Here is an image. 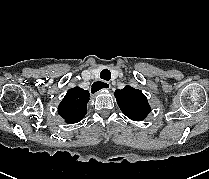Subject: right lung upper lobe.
Segmentation results:
<instances>
[{
	"mask_svg": "<svg viewBox=\"0 0 209 179\" xmlns=\"http://www.w3.org/2000/svg\"><path fill=\"white\" fill-rule=\"evenodd\" d=\"M90 93L80 87L71 88L58 106L59 115L69 124L79 122L87 113Z\"/></svg>",
	"mask_w": 209,
	"mask_h": 179,
	"instance_id": "right-lung-upper-lobe-1",
	"label": "right lung upper lobe"
}]
</instances>
